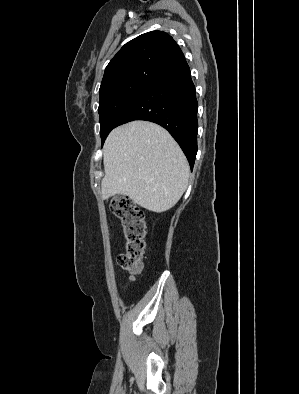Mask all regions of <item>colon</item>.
Listing matches in <instances>:
<instances>
[{"mask_svg":"<svg viewBox=\"0 0 299 394\" xmlns=\"http://www.w3.org/2000/svg\"><path fill=\"white\" fill-rule=\"evenodd\" d=\"M108 208L120 220L126 240L125 252L118 255V264L127 273L136 275L141 272L146 247L144 214L132 199L125 196L110 199Z\"/></svg>","mask_w":299,"mask_h":394,"instance_id":"obj_1","label":"colon"}]
</instances>
